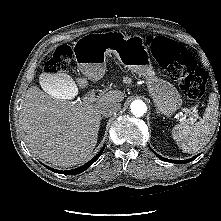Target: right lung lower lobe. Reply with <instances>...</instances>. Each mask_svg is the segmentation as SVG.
<instances>
[{
	"label": "right lung lower lobe",
	"mask_w": 221,
	"mask_h": 221,
	"mask_svg": "<svg viewBox=\"0 0 221 221\" xmlns=\"http://www.w3.org/2000/svg\"><path fill=\"white\" fill-rule=\"evenodd\" d=\"M105 147L102 148V150L98 153L97 156H95L93 159H91L89 162H87L86 164H84L83 166L81 167H78L76 169H72V170H65V171H62V170H57V169H53V168H50L48 166L45 165V167L55 173H60V174H67V175H75V174H79L83 171H85L87 168H89L98 158L99 156L103 153V150H104Z\"/></svg>",
	"instance_id": "obj_1"
}]
</instances>
